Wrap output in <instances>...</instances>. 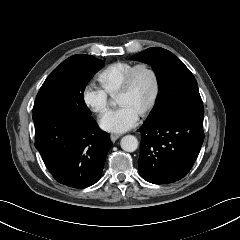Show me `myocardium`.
Wrapping results in <instances>:
<instances>
[{
    "mask_svg": "<svg viewBox=\"0 0 240 240\" xmlns=\"http://www.w3.org/2000/svg\"><path fill=\"white\" fill-rule=\"evenodd\" d=\"M141 69L148 71L152 75L153 80H154L153 96H152L150 102L148 103V105L146 106V108L139 114L140 117H145V116L149 115L152 112V110L155 108V106L158 102V99L160 97V93H161V81H160L159 74L150 64L145 63V62H140V63L135 64L128 71V73L124 79V82H123L119 92L117 93V97L131 91L135 74L137 73V71H139Z\"/></svg>",
    "mask_w": 240,
    "mask_h": 240,
    "instance_id": "1",
    "label": "myocardium"
}]
</instances>
